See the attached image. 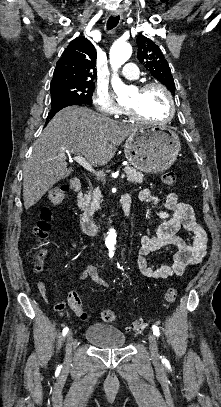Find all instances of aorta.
I'll return each instance as SVG.
<instances>
[{"instance_id":"aorta-1","label":"aorta","mask_w":221,"mask_h":407,"mask_svg":"<svg viewBox=\"0 0 221 407\" xmlns=\"http://www.w3.org/2000/svg\"><path fill=\"white\" fill-rule=\"evenodd\" d=\"M132 54V48L129 43L120 41L113 44L110 49V64L114 71L111 83L118 99L126 98L131 92V88L125 85L117 75V70L130 58ZM116 232L114 229L108 231L107 237L105 239V245L109 250V256L112 257L114 254V246L116 245Z\"/></svg>"}]
</instances>
